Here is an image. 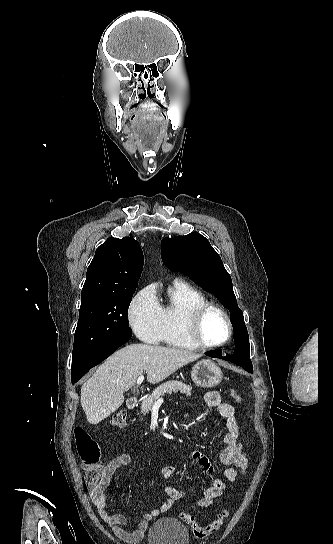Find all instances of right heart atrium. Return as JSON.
<instances>
[{
	"label": "right heart atrium",
	"mask_w": 333,
	"mask_h": 544,
	"mask_svg": "<svg viewBox=\"0 0 333 544\" xmlns=\"http://www.w3.org/2000/svg\"><path fill=\"white\" fill-rule=\"evenodd\" d=\"M128 319L133 332L143 342L158 344L162 341V309L152 287H145L136 294L129 306Z\"/></svg>",
	"instance_id": "1"
}]
</instances>
